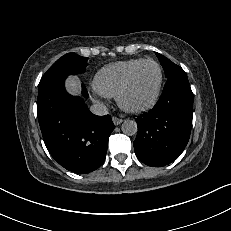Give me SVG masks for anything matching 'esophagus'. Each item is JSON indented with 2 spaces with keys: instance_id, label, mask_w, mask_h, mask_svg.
Instances as JSON below:
<instances>
[{
  "instance_id": "esophagus-1",
  "label": "esophagus",
  "mask_w": 231,
  "mask_h": 231,
  "mask_svg": "<svg viewBox=\"0 0 231 231\" xmlns=\"http://www.w3.org/2000/svg\"><path fill=\"white\" fill-rule=\"evenodd\" d=\"M112 121L115 125H120L123 122V119L113 116Z\"/></svg>"
}]
</instances>
